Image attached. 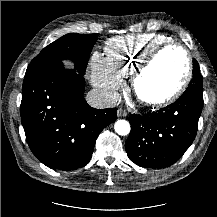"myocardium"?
I'll return each mask as SVG.
<instances>
[{"label": "myocardium", "instance_id": "obj_1", "mask_svg": "<svg viewBox=\"0 0 217 217\" xmlns=\"http://www.w3.org/2000/svg\"><path fill=\"white\" fill-rule=\"evenodd\" d=\"M171 49H179L181 50L187 60V70L186 74L179 84V86L170 94L158 98V99H145L142 98L138 93V84L140 79L143 77V75L150 69V67L154 64V62L158 59V57L165 51L171 50ZM193 77V59L191 56V53L189 50L175 42H169L164 45H161L157 48H155L150 54L147 55V57L139 64V66L136 68V70L132 74L131 78V88L136 96V98L142 102L143 104L151 107H162L168 104H171L178 100L187 90L191 80Z\"/></svg>", "mask_w": 217, "mask_h": 217}]
</instances>
